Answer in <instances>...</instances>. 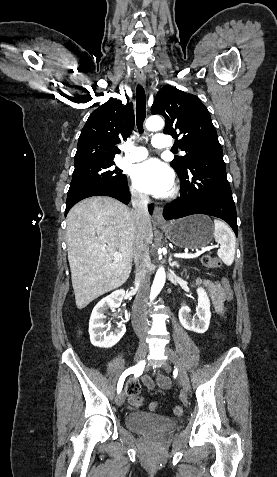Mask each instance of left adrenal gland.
Instances as JSON below:
<instances>
[{
  "instance_id": "obj_1",
  "label": "left adrenal gland",
  "mask_w": 277,
  "mask_h": 477,
  "mask_svg": "<svg viewBox=\"0 0 277 477\" xmlns=\"http://www.w3.org/2000/svg\"><path fill=\"white\" fill-rule=\"evenodd\" d=\"M169 264H170V266H171L172 268H173V267L179 268V263L176 262V261H173V262H172V257H171V256L169 257Z\"/></svg>"
}]
</instances>
